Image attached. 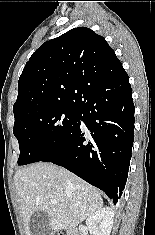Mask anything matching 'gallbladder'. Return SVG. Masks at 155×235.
<instances>
[{
	"label": "gallbladder",
	"instance_id": "1",
	"mask_svg": "<svg viewBox=\"0 0 155 235\" xmlns=\"http://www.w3.org/2000/svg\"><path fill=\"white\" fill-rule=\"evenodd\" d=\"M30 230L32 235H51L47 213L36 210L30 220Z\"/></svg>",
	"mask_w": 155,
	"mask_h": 235
}]
</instances>
